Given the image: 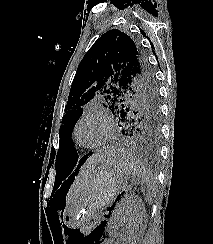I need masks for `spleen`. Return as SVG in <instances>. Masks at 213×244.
I'll return each mask as SVG.
<instances>
[{
  "label": "spleen",
  "mask_w": 213,
  "mask_h": 244,
  "mask_svg": "<svg viewBox=\"0 0 213 244\" xmlns=\"http://www.w3.org/2000/svg\"><path fill=\"white\" fill-rule=\"evenodd\" d=\"M117 155L120 160V166L132 176L133 181H139L146 184L149 183V177L147 176L144 167L132 154L126 151H118ZM149 202H151L150 199Z\"/></svg>",
  "instance_id": "1"
}]
</instances>
